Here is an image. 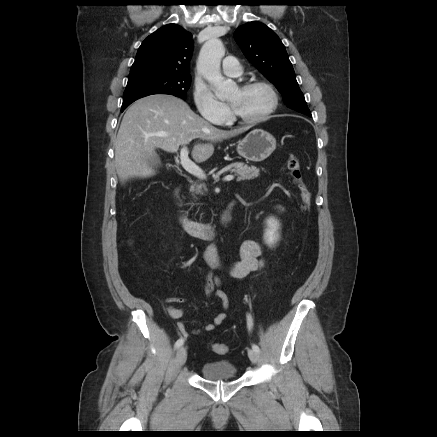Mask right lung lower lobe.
<instances>
[{"instance_id":"1","label":"right lung lower lobe","mask_w":437,"mask_h":437,"mask_svg":"<svg viewBox=\"0 0 437 437\" xmlns=\"http://www.w3.org/2000/svg\"><path fill=\"white\" fill-rule=\"evenodd\" d=\"M125 110V108L124 109H121V111H124Z\"/></svg>"}]
</instances>
